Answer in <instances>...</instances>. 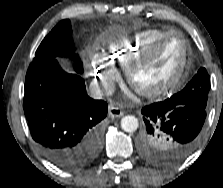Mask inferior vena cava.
<instances>
[{
  "instance_id": "inferior-vena-cava-1",
  "label": "inferior vena cava",
  "mask_w": 223,
  "mask_h": 188,
  "mask_svg": "<svg viewBox=\"0 0 223 188\" xmlns=\"http://www.w3.org/2000/svg\"><path fill=\"white\" fill-rule=\"evenodd\" d=\"M89 91L92 98L101 99L103 96L112 95L115 91V85L111 81H92Z\"/></svg>"
}]
</instances>
